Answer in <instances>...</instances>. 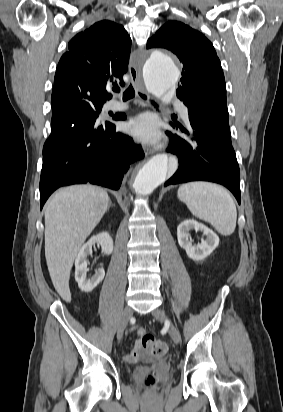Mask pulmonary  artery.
Segmentation results:
<instances>
[{
	"instance_id": "obj_1",
	"label": "pulmonary artery",
	"mask_w": 283,
	"mask_h": 412,
	"mask_svg": "<svg viewBox=\"0 0 283 412\" xmlns=\"http://www.w3.org/2000/svg\"><path fill=\"white\" fill-rule=\"evenodd\" d=\"M125 108H126V106L121 105V104H115V105H112V106H111V109H112V110H115V111H117V110H124ZM181 115H182V118H183L185 121H188L189 117H188V112H187V110H185V109L181 110Z\"/></svg>"
}]
</instances>
